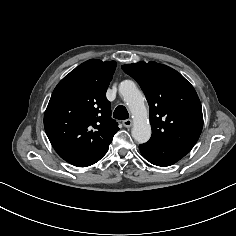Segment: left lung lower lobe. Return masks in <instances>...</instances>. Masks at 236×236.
Here are the masks:
<instances>
[{"mask_svg":"<svg viewBox=\"0 0 236 236\" xmlns=\"http://www.w3.org/2000/svg\"><path fill=\"white\" fill-rule=\"evenodd\" d=\"M194 145L189 144H150L139 145L143 157L150 163L165 167L170 166L183 158Z\"/></svg>","mask_w":236,"mask_h":236,"instance_id":"left-lung-lower-lobe-1","label":"left lung lower lobe"}]
</instances>
